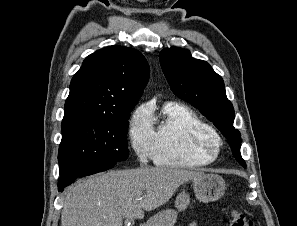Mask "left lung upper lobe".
Masks as SVG:
<instances>
[{"mask_svg":"<svg viewBox=\"0 0 297 226\" xmlns=\"http://www.w3.org/2000/svg\"><path fill=\"white\" fill-rule=\"evenodd\" d=\"M160 64L174 94L200 110L231 142L235 159L246 167L241 157V135L233 127L234 108L226 97L223 79L205 61L192 58L188 50L163 49Z\"/></svg>","mask_w":297,"mask_h":226,"instance_id":"5c2ea615","label":"left lung upper lobe"}]
</instances>
